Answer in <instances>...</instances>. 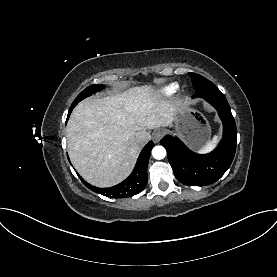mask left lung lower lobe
<instances>
[{"label": "left lung lower lobe", "mask_w": 277, "mask_h": 277, "mask_svg": "<svg viewBox=\"0 0 277 277\" xmlns=\"http://www.w3.org/2000/svg\"><path fill=\"white\" fill-rule=\"evenodd\" d=\"M216 110L223 122V138L209 154L189 150L177 137L166 135L160 143L167 150L168 160L178 181L188 186H205L216 182L230 167L236 151V124L230 106L219 89L196 93Z\"/></svg>", "instance_id": "left-lung-lower-lobe-1"}]
</instances>
